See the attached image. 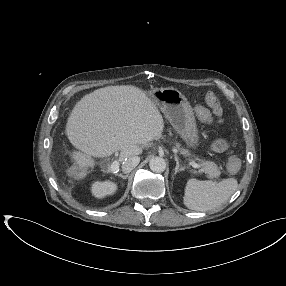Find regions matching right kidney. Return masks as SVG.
Returning <instances> with one entry per match:
<instances>
[{
	"mask_svg": "<svg viewBox=\"0 0 286 286\" xmlns=\"http://www.w3.org/2000/svg\"><path fill=\"white\" fill-rule=\"evenodd\" d=\"M117 189V185L112 181H96L92 185V193L97 198H103L106 195L113 194Z\"/></svg>",
	"mask_w": 286,
	"mask_h": 286,
	"instance_id": "obj_1",
	"label": "right kidney"
}]
</instances>
